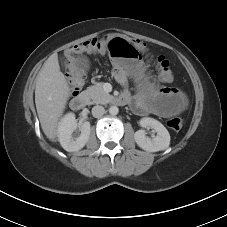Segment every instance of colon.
<instances>
[{
    "label": "colon",
    "mask_w": 227,
    "mask_h": 227,
    "mask_svg": "<svg viewBox=\"0 0 227 227\" xmlns=\"http://www.w3.org/2000/svg\"><path fill=\"white\" fill-rule=\"evenodd\" d=\"M103 51H107L116 61L137 59L141 53L149 56L148 49L142 41L120 34H107L69 47L65 51L66 66L68 60L73 56H80L84 59L83 55L86 53ZM150 59L153 60L161 81L171 83L174 80V72L169 61L163 56L155 58L150 56ZM84 75L79 79H72L67 75L68 83L72 91L78 92L81 89L84 82ZM167 125L170 129L179 131L183 127V119L180 116L172 117L168 120Z\"/></svg>",
    "instance_id": "obj_1"
}]
</instances>
